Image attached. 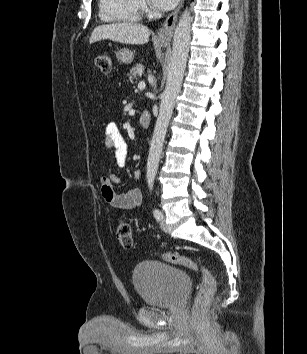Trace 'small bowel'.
Wrapping results in <instances>:
<instances>
[{
	"label": "small bowel",
	"instance_id": "small-bowel-1",
	"mask_svg": "<svg viewBox=\"0 0 307 354\" xmlns=\"http://www.w3.org/2000/svg\"><path fill=\"white\" fill-rule=\"evenodd\" d=\"M104 146L113 152L116 164L123 167L128 157L129 147L118 125L114 122H109L105 126ZM135 176L139 178L140 172L137 171ZM120 181V177L112 171L107 172L101 178V191L105 201L116 209L132 210L139 208L142 204L141 191L133 189L126 193H117L114 191L113 185Z\"/></svg>",
	"mask_w": 307,
	"mask_h": 354
}]
</instances>
